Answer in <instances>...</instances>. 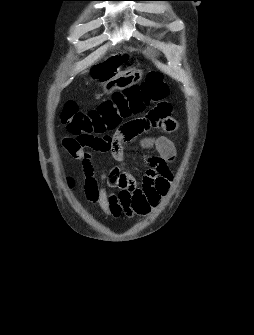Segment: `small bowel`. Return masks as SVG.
<instances>
[{
    "mask_svg": "<svg viewBox=\"0 0 254 335\" xmlns=\"http://www.w3.org/2000/svg\"><path fill=\"white\" fill-rule=\"evenodd\" d=\"M170 109V104H155L149 113H145V117L118 124L109 149L117 165L100 174L96 173L91 154L77 138L65 137L62 140L66 151L82 162L86 198L98 204L105 216H144L167 194L173 180L170 165L176 158V145L165 136L144 135L152 130H158L159 134L174 135L177 122L172 119ZM137 137H142L144 149L154 152L143 158L147 169L141 182L125 167L123 150V143H132ZM70 186H73L72 181ZM109 189H117L118 192Z\"/></svg>",
    "mask_w": 254,
    "mask_h": 335,
    "instance_id": "small-bowel-1",
    "label": "small bowel"
}]
</instances>
